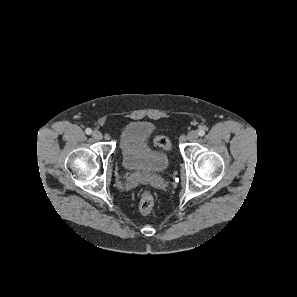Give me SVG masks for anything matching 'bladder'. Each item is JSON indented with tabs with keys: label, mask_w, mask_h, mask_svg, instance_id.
<instances>
[{
	"label": "bladder",
	"mask_w": 297,
	"mask_h": 297,
	"mask_svg": "<svg viewBox=\"0 0 297 297\" xmlns=\"http://www.w3.org/2000/svg\"><path fill=\"white\" fill-rule=\"evenodd\" d=\"M154 129L146 121H133L123 127L120 150L123 165L128 171L150 174L168 169L170 161L167 154L150 146Z\"/></svg>",
	"instance_id": "1"
}]
</instances>
